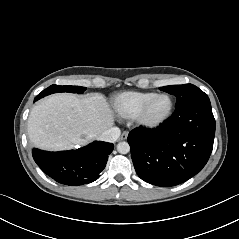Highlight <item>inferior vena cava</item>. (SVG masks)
Listing matches in <instances>:
<instances>
[{
  "mask_svg": "<svg viewBox=\"0 0 239 239\" xmlns=\"http://www.w3.org/2000/svg\"><path fill=\"white\" fill-rule=\"evenodd\" d=\"M120 133L121 131L118 127H111L99 134L97 138L101 141L113 143L119 138Z\"/></svg>",
  "mask_w": 239,
  "mask_h": 239,
  "instance_id": "1",
  "label": "inferior vena cava"
}]
</instances>
